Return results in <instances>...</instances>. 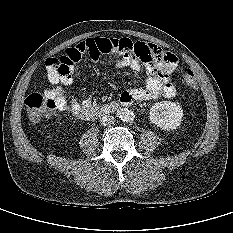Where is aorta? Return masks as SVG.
<instances>
[{"instance_id": "762f6f07", "label": "aorta", "mask_w": 233, "mask_h": 233, "mask_svg": "<svg viewBox=\"0 0 233 233\" xmlns=\"http://www.w3.org/2000/svg\"><path fill=\"white\" fill-rule=\"evenodd\" d=\"M117 116L124 122H132L134 120V113L127 108L118 110Z\"/></svg>"}]
</instances>
